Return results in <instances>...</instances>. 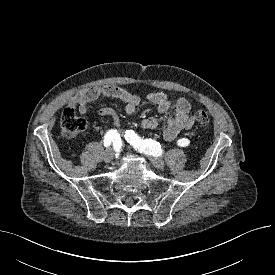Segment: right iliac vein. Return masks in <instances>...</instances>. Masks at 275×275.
Masks as SVG:
<instances>
[{
  "label": "right iliac vein",
  "instance_id": "right-iliac-vein-1",
  "mask_svg": "<svg viewBox=\"0 0 275 275\" xmlns=\"http://www.w3.org/2000/svg\"><path fill=\"white\" fill-rule=\"evenodd\" d=\"M114 150L113 149H108L105 154H104V162L105 163H110L114 159Z\"/></svg>",
  "mask_w": 275,
  "mask_h": 275
}]
</instances>
